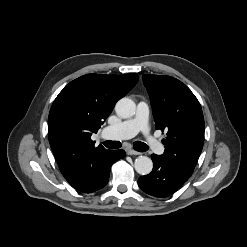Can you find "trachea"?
<instances>
[{"instance_id":"1","label":"trachea","mask_w":247,"mask_h":247,"mask_svg":"<svg viewBox=\"0 0 247 247\" xmlns=\"http://www.w3.org/2000/svg\"><path fill=\"white\" fill-rule=\"evenodd\" d=\"M103 144L109 148V149H118L121 147V143L118 142V141H104ZM133 148L136 150V151H139V152H144L148 149V146L143 143V142H140V141H136L134 144H133Z\"/></svg>"}]
</instances>
